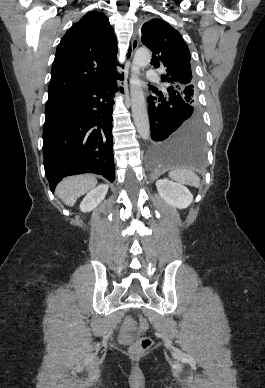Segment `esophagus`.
I'll use <instances>...</instances> for the list:
<instances>
[{
	"mask_svg": "<svg viewBox=\"0 0 265 388\" xmlns=\"http://www.w3.org/2000/svg\"><path fill=\"white\" fill-rule=\"evenodd\" d=\"M139 45V40L138 38H133L132 39V49L136 50V48L138 47Z\"/></svg>",
	"mask_w": 265,
	"mask_h": 388,
	"instance_id": "34e87169",
	"label": "esophagus"
}]
</instances>
